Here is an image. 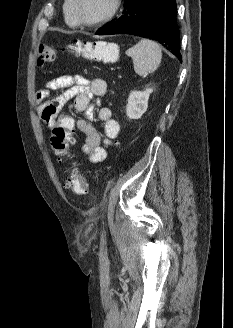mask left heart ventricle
Listing matches in <instances>:
<instances>
[{
	"mask_svg": "<svg viewBox=\"0 0 233 328\" xmlns=\"http://www.w3.org/2000/svg\"><path fill=\"white\" fill-rule=\"evenodd\" d=\"M113 0H80V15L88 22H95L105 17L111 7Z\"/></svg>",
	"mask_w": 233,
	"mask_h": 328,
	"instance_id": "1",
	"label": "left heart ventricle"
}]
</instances>
